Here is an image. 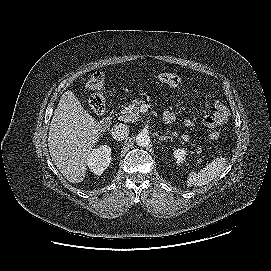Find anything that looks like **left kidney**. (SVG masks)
I'll list each match as a JSON object with an SVG mask.
<instances>
[{
	"label": "left kidney",
	"mask_w": 271,
	"mask_h": 271,
	"mask_svg": "<svg viewBox=\"0 0 271 271\" xmlns=\"http://www.w3.org/2000/svg\"><path fill=\"white\" fill-rule=\"evenodd\" d=\"M174 157L177 159V163L181 164L185 161L186 155H187V151L185 149H175L174 152Z\"/></svg>",
	"instance_id": "left-kidney-1"
}]
</instances>
